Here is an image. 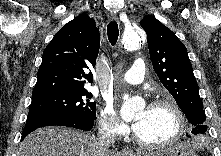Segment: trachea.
Wrapping results in <instances>:
<instances>
[{
  "instance_id": "obj_1",
  "label": "trachea",
  "mask_w": 221,
  "mask_h": 156,
  "mask_svg": "<svg viewBox=\"0 0 221 156\" xmlns=\"http://www.w3.org/2000/svg\"><path fill=\"white\" fill-rule=\"evenodd\" d=\"M107 35L111 45H115L119 36L118 24L115 21H111L107 26Z\"/></svg>"
}]
</instances>
